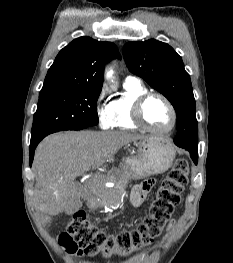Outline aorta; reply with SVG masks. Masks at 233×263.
Masks as SVG:
<instances>
[{
    "mask_svg": "<svg viewBox=\"0 0 233 263\" xmlns=\"http://www.w3.org/2000/svg\"><path fill=\"white\" fill-rule=\"evenodd\" d=\"M112 75H113V71L112 70L107 71V73H106V77L107 78H112Z\"/></svg>",
    "mask_w": 233,
    "mask_h": 263,
    "instance_id": "aorta-1",
    "label": "aorta"
}]
</instances>
